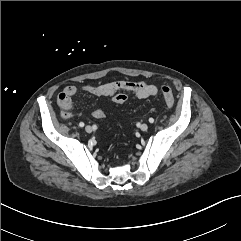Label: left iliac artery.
Listing matches in <instances>:
<instances>
[{
	"label": "left iliac artery",
	"mask_w": 241,
	"mask_h": 241,
	"mask_svg": "<svg viewBox=\"0 0 241 241\" xmlns=\"http://www.w3.org/2000/svg\"><path fill=\"white\" fill-rule=\"evenodd\" d=\"M149 122L150 123H154V119L153 118H149Z\"/></svg>",
	"instance_id": "obj_1"
}]
</instances>
